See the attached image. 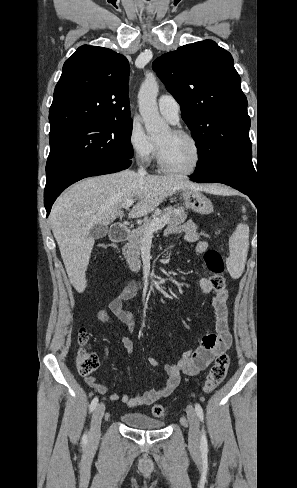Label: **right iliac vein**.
Listing matches in <instances>:
<instances>
[{
    "instance_id": "63e3f726",
    "label": "right iliac vein",
    "mask_w": 297,
    "mask_h": 488,
    "mask_svg": "<svg viewBox=\"0 0 297 488\" xmlns=\"http://www.w3.org/2000/svg\"><path fill=\"white\" fill-rule=\"evenodd\" d=\"M104 412L105 405L103 403L98 404L94 410L89 432V445L91 447H95L99 441Z\"/></svg>"
}]
</instances>
